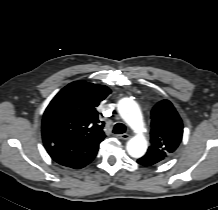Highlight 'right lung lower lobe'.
<instances>
[{
	"mask_svg": "<svg viewBox=\"0 0 218 210\" xmlns=\"http://www.w3.org/2000/svg\"><path fill=\"white\" fill-rule=\"evenodd\" d=\"M101 141L81 143L56 135L43 136L44 146L51 158L74 169L88 165L95 158Z\"/></svg>",
	"mask_w": 218,
	"mask_h": 210,
	"instance_id": "right-lung-lower-lobe-1",
	"label": "right lung lower lobe"
}]
</instances>
